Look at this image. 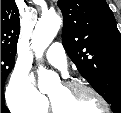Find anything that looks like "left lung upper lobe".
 <instances>
[{
	"instance_id": "left-lung-upper-lobe-1",
	"label": "left lung upper lobe",
	"mask_w": 121,
	"mask_h": 113,
	"mask_svg": "<svg viewBox=\"0 0 121 113\" xmlns=\"http://www.w3.org/2000/svg\"><path fill=\"white\" fill-rule=\"evenodd\" d=\"M62 43L81 75L121 113V36L105 0H59Z\"/></svg>"
}]
</instances>
